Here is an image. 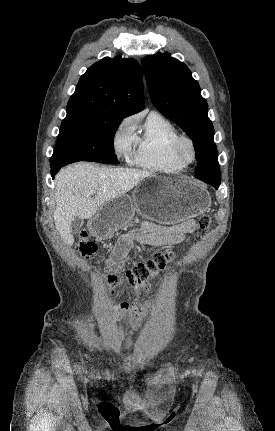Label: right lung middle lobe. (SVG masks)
I'll return each mask as SVG.
<instances>
[{
    "label": "right lung middle lobe",
    "instance_id": "1",
    "mask_svg": "<svg viewBox=\"0 0 275 431\" xmlns=\"http://www.w3.org/2000/svg\"><path fill=\"white\" fill-rule=\"evenodd\" d=\"M123 120L113 115H72L62 121L51 166L77 161L115 164L114 135Z\"/></svg>",
    "mask_w": 275,
    "mask_h": 431
}]
</instances>
